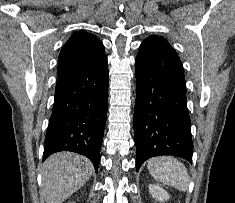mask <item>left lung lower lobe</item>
Returning <instances> with one entry per match:
<instances>
[{"label":"left lung lower lobe","mask_w":235,"mask_h":203,"mask_svg":"<svg viewBox=\"0 0 235 203\" xmlns=\"http://www.w3.org/2000/svg\"><path fill=\"white\" fill-rule=\"evenodd\" d=\"M134 113L137 171L147 159L174 155L192 163L193 142L183 65L170 44L146 39L136 57Z\"/></svg>","instance_id":"1"}]
</instances>
